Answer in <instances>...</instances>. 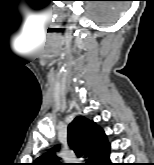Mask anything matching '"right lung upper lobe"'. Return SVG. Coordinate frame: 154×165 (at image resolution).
<instances>
[{"mask_svg":"<svg viewBox=\"0 0 154 165\" xmlns=\"http://www.w3.org/2000/svg\"><path fill=\"white\" fill-rule=\"evenodd\" d=\"M106 141L104 131L95 122L83 116L76 117L68 126V144L78 157L89 156L88 160L94 162L101 146ZM57 149L58 146L38 157L33 165H63L55 156Z\"/></svg>","mask_w":154,"mask_h":165,"instance_id":"obj_1","label":"right lung upper lobe"}]
</instances>
